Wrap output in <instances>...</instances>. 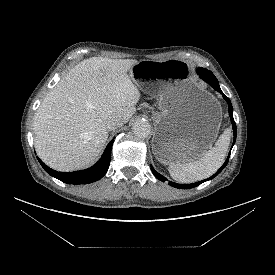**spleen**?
Segmentation results:
<instances>
[{
    "mask_svg": "<svg viewBox=\"0 0 275 275\" xmlns=\"http://www.w3.org/2000/svg\"><path fill=\"white\" fill-rule=\"evenodd\" d=\"M230 144V130L220 135L214 147L201 158L189 163H172L169 165L171 177L182 183H192L214 174L223 164Z\"/></svg>",
    "mask_w": 275,
    "mask_h": 275,
    "instance_id": "obj_1",
    "label": "spleen"
}]
</instances>
